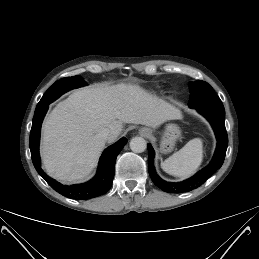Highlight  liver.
I'll use <instances>...</instances> for the list:
<instances>
[{
	"mask_svg": "<svg viewBox=\"0 0 259 259\" xmlns=\"http://www.w3.org/2000/svg\"><path fill=\"white\" fill-rule=\"evenodd\" d=\"M181 118L166 101L136 85L94 86L73 92L59 102L43 125L42 162L46 172L60 182H76L95 168L106 141L98 138L110 130L109 143L120 135L123 123L159 127Z\"/></svg>",
	"mask_w": 259,
	"mask_h": 259,
	"instance_id": "obj_1",
	"label": "liver"
}]
</instances>
